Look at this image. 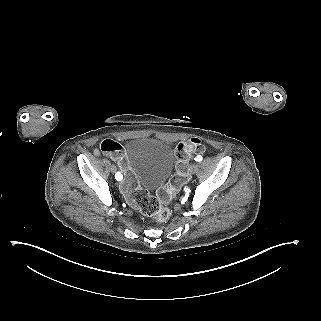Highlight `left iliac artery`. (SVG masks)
Returning <instances> with one entry per match:
<instances>
[{
	"mask_svg": "<svg viewBox=\"0 0 321 321\" xmlns=\"http://www.w3.org/2000/svg\"><path fill=\"white\" fill-rule=\"evenodd\" d=\"M197 162H201L202 161V156L201 155H198L195 159Z\"/></svg>",
	"mask_w": 321,
	"mask_h": 321,
	"instance_id": "obj_1",
	"label": "left iliac artery"
}]
</instances>
